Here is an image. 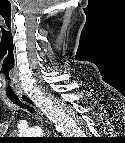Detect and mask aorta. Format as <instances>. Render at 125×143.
I'll use <instances>...</instances> for the list:
<instances>
[{
    "label": "aorta",
    "instance_id": "1",
    "mask_svg": "<svg viewBox=\"0 0 125 143\" xmlns=\"http://www.w3.org/2000/svg\"><path fill=\"white\" fill-rule=\"evenodd\" d=\"M42 133V130L40 129V128H33L30 132H29V134L30 135H40Z\"/></svg>",
    "mask_w": 125,
    "mask_h": 143
}]
</instances>
